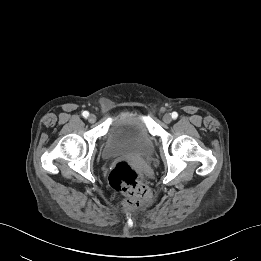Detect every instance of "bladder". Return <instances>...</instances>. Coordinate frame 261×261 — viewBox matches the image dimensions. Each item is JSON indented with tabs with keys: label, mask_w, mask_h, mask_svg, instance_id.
I'll use <instances>...</instances> for the list:
<instances>
[{
	"label": "bladder",
	"mask_w": 261,
	"mask_h": 261,
	"mask_svg": "<svg viewBox=\"0 0 261 261\" xmlns=\"http://www.w3.org/2000/svg\"><path fill=\"white\" fill-rule=\"evenodd\" d=\"M153 150L154 138L143 113L132 107L112 119L104 135L101 153L105 159L121 155L146 158Z\"/></svg>",
	"instance_id": "bladder-1"
}]
</instances>
